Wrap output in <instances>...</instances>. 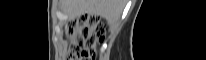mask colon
I'll list each match as a JSON object with an SVG mask.
<instances>
[{
	"label": "colon",
	"instance_id": "colon-1",
	"mask_svg": "<svg viewBox=\"0 0 206 60\" xmlns=\"http://www.w3.org/2000/svg\"><path fill=\"white\" fill-rule=\"evenodd\" d=\"M66 35L69 60H93L104 40L105 29L97 16L84 15L67 24Z\"/></svg>",
	"mask_w": 206,
	"mask_h": 60
}]
</instances>
